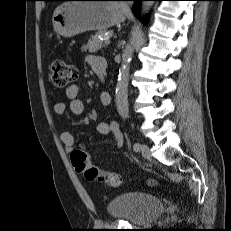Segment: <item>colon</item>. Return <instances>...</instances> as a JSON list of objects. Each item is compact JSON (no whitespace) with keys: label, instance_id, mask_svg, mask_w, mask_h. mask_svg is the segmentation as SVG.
<instances>
[{"label":"colon","instance_id":"colon-1","mask_svg":"<svg viewBox=\"0 0 231 231\" xmlns=\"http://www.w3.org/2000/svg\"><path fill=\"white\" fill-rule=\"evenodd\" d=\"M51 74L53 84L58 88H67L78 78L77 68L60 60L52 63ZM71 160L75 169L83 173L89 181H99L112 187H118L122 183V177L119 174L106 172L92 165L90 156L84 149L74 150Z\"/></svg>","mask_w":231,"mask_h":231}]
</instances>
